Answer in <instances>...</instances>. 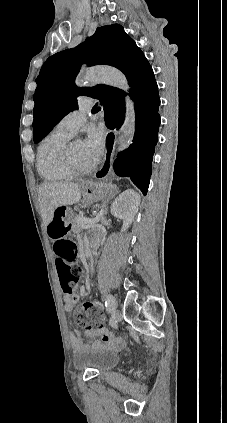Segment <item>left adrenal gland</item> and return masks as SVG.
Returning a JSON list of instances; mask_svg holds the SVG:
<instances>
[{
  "label": "left adrenal gland",
  "mask_w": 227,
  "mask_h": 423,
  "mask_svg": "<svg viewBox=\"0 0 227 423\" xmlns=\"http://www.w3.org/2000/svg\"><path fill=\"white\" fill-rule=\"evenodd\" d=\"M107 206H108V204H103V210H104L103 215H107V213H108V208H107Z\"/></svg>",
  "instance_id": "left-adrenal-gland-1"
}]
</instances>
